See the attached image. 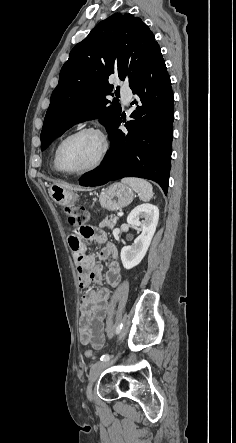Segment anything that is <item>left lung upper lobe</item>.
I'll list each match as a JSON object with an SVG mask.
<instances>
[{
	"mask_svg": "<svg viewBox=\"0 0 236 443\" xmlns=\"http://www.w3.org/2000/svg\"><path fill=\"white\" fill-rule=\"evenodd\" d=\"M158 43L149 27L131 14L115 13L101 21L70 52L51 95L41 132V150L74 124L100 118L107 132L121 109L110 101L116 75L130 84L138 77Z\"/></svg>",
	"mask_w": 236,
	"mask_h": 443,
	"instance_id": "5c2ea615",
	"label": "left lung upper lobe"
}]
</instances>
